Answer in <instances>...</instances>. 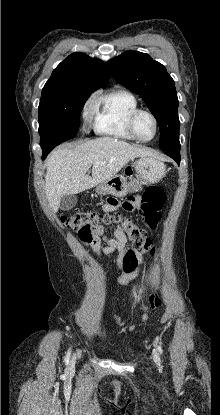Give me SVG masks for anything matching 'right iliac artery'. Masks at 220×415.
I'll use <instances>...</instances> for the list:
<instances>
[{
  "label": "right iliac artery",
  "instance_id": "82829eb1",
  "mask_svg": "<svg viewBox=\"0 0 220 415\" xmlns=\"http://www.w3.org/2000/svg\"><path fill=\"white\" fill-rule=\"evenodd\" d=\"M69 357H70V350L68 351V353H67V355H66V358H65V361H66V362H68V361H69Z\"/></svg>",
  "mask_w": 220,
  "mask_h": 415
}]
</instances>
